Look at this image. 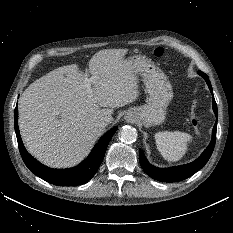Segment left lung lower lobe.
<instances>
[{
	"label": "left lung lower lobe",
	"mask_w": 233,
	"mask_h": 233,
	"mask_svg": "<svg viewBox=\"0 0 233 233\" xmlns=\"http://www.w3.org/2000/svg\"><path fill=\"white\" fill-rule=\"evenodd\" d=\"M198 73H199V75H201L205 79L211 93L213 94L212 86H211V83L209 81L208 76L201 71H199ZM212 103H213V111H214L216 118H217L218 117V110H217V105H216L214 98L212 100ZM216 129H217V124L215 123L213 131H212V140H211L209 146L204 150V152L201 154V156L199 158H197L195 161H193L189 164L174 166L171 168H158V167L151 165L147 161L145 155L143 154V151L141 149H139L140 165L146 174H148L151 178L156 179L158 181H163V182L182 181V180L192 176L197 171H199L202 167H204V165L209 160V158L213 152L214 146H215Z\"/></svg>",
	"instance_id": "left-lung-lower-lobe-1"
}]
</instances>
